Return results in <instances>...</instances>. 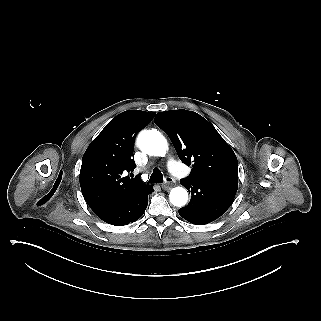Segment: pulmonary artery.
Instances as JSON below:
<instances>
[{"label":"pulmonary artery","mask_w":321,"mask_h":321,"mask_svg":"<svg viewBox=\"0 0 321 321\" xmlns=\"http://www.w3.org/2000/svg\"><path fill=\"white\" fill-rule=\"evenodd\" d=\"M166 165L169 167V170L171 172L175 173V176L178 179H185L187 177V170L184 167L180 166V163L177 161V158L175 156H168L166 158Z\"/></svg>","instance_id":"1"}]
</instances>
